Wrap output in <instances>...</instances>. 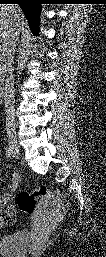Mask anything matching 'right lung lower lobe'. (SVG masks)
<instances>
[{"instance_id": "1", "label": "right lung lower lobe", "mask_w": 106, "mask_h": 257, "mask_svg": "<svg viewBox=\"0 0 106 257\" xmlns=\"http://www.w3.org/2000/svg\"><path fill=\"white\" fill-rule=\"evenodd\" d=\"M0 3H11V4H19L21 9L23 10L31 31L34 34H38L39 28V11L41 0H0Z\"/></svg>"}]
</instances>
